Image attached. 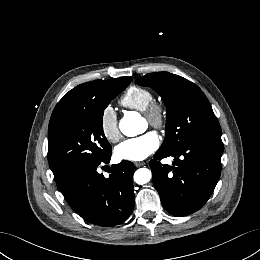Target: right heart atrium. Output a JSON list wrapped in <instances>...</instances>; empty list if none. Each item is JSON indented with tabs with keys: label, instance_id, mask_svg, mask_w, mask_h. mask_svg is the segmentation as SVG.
Wrapping results in <instances>:
<instances>
[{
	"label": "right heart atrium",
	"instance_id": "obj_1",
	"mask_svg": "<svg viewBox=\"0 0 260 260\" xmlns=\"http://www.w3.org/2000/svg\"><path fill=\"white\" fill-rule=\"evenodd\" d=\"M100 127L104 137L110 142H117L120 139L118 118L116 111L111 106H106L100 115Z\"/></svg>",
	"mask_w": 260,
	"mask_h": 260
}]
</instances>
